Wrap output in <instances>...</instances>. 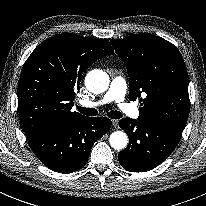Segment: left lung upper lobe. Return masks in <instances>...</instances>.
<instances>
[{
	"instance_id": "obj_1",
	"label": "left lung upper lobe",
	"mask_w": 206,
	"mask_h": 206,
	"mask_svg": "<svg viewBox=\"0 0 206 206\" xmlns=\"http://www.w3.org/2000/svg\"><path fill=\"white\" fill-rule=\"evenodd\" d=\"M126 64L129 99L140 98L138 120L183 132L190 110L188 73L176 46L151 34L111 40ZM141 93L146 97L141 98Z\"/></svg>"
}]
</instances>
